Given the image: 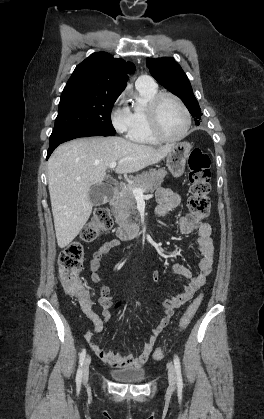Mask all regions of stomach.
I'll return each mask as SVG.
<instances>
[{
    "label": "stomach",
    "instance_id": "obj_1",
    "mask_svg": "<svg viewBox=\"0 0 264 419\" xmlns=\"http://www.w3.org/2000/svg\"><path fill=\"white\" fill-rule=\"evenodd\" d=\"M192 145L189 142H177L172 145L167 155V167L174 177H180L185 170Z\"/></svg>",
    "mask_w": 264,
    "mask_h": 419
}]
</instances>
